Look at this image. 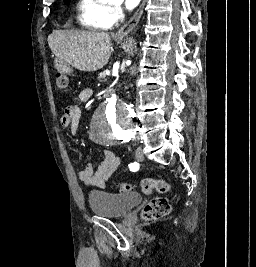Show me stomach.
Masks as SVG:
<instances>
[{
    "mask_svg": "<svg viewBox=\"0 0 256 267\" xmlns=\"http://www.w3.org/2000/svg\"><path fill=\"white\" fill-rule=\"evenodd\" d=\"M122 38H119L118 42H121ZM54 67H69V62H54Z\"/></svg>",
    "mask_w": 256,
    "mask_h": 267,
    "instance_id": "stomach-1",
    "label": "stomach"
}]
</instances>
